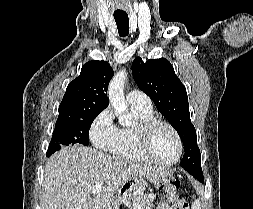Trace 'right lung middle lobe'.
<instances>
[{
  "instance_id": "1",
  "label": "right lung middle lobe",
  "mask_w": 253,
  "mask_h": 209,
  "mask_svg": "<svg viewBox=\"0 0 253 209\" xmlns=\"http://www.w3.org/2000/svg\"><path fill=\"white\" fill-rule=\"evenodd\" d=\"M99 113L100 111L91 112L56 122L46 156L49 157L60 150L63 145H73L75 143L87 145L90 125Z\"/></svg>"
}]
</instances>
